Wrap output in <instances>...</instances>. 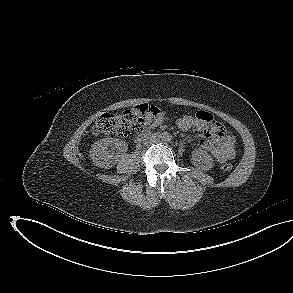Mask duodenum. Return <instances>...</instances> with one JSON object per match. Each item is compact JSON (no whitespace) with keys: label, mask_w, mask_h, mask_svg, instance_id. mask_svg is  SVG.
<instances>
[{"label":"duodenum","mask_w":293,"mask_h":293,"mask_svg":"<svg viewBox=\"0 0 293 293\" xmlns=\"http://www.w3.org/2000/svg\"><path fill=\"white\" fill-rule=\"evenodd\" d=\"M148 134L146 132H141V133H138L134 140L135 142H140L143 138H145Z\"/></svg>","instance_id":"duodenum-1"}]
</instances>
